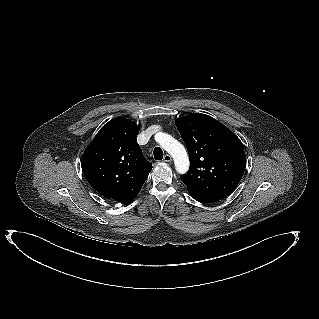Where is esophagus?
Returning a JSON list of instances; mask_svg holds the SVG:
<instances>
[{
	"label": "esophagus",
	"instance_id": "34e87169",
	"mask_svg": "<svg viewBox=\"0 0 319 319\" xmlns=\"http://www.w3.org/2000/svg\"><path fill=\"white\" fill-rule=\"evenodd\" d=\"M163 161L169 163L172 161V157L169 154H166L164 155Z\"/></svg>",
	"mask_w": 319,
	"mask_h": 319
}]
</instances>
